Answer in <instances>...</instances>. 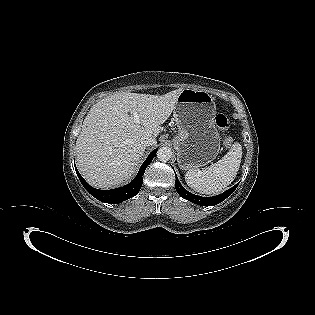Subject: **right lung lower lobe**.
Returning <instances> with one entry per match:
<instances>
[{"label": "right lung lower lobe", "instance_id": "98d812e1", "mask_svg": "<svg viewBox=\"0 0 315 315\" xmlns=\"http://www.w3.org/2000/svg\"><path fill=\"white\" fill-rule=\"evenodd\" d=\"M157 150L155 149L149 154L146 161L140 167L137 176L129 184L112 190H99L91 187L79 174L78 170H75L82 185L92 196L105 203L118 204L138 194L143 183L145 169L153 160Z\"/></svg>", "mask_w": 315, "mask_h": 315}]
</instances>
